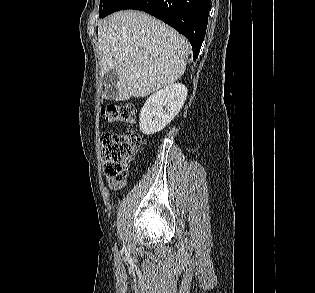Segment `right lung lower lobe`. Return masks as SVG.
I'll use <instances>...</instances> for the list:
<instances>
[{"label": "right lung lower lobe", "mask_w": 315, "mask_h": 293, "mask_svg": "<svg viewBox=\"0 0 315 293\" xmlns=\"http://www.w3.org/2000/svg\"><path fill=\"white\" fill-rule=\"evenodd\" d=\"M125 9L145 11L175 28L190 41L196 60L205 37L210 0H112L100 18Z\"/></svg>", "instance_id": "1"}]
</instances>
